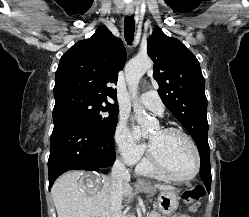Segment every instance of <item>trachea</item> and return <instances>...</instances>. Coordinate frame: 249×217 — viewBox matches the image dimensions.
Masks as SVG:
<instances>
[{"instance_id": "3493384b", "label": "trachea", "mask_w": 249, "mask_h": 217, "mask_svg": "<svg viewBox=\"0 0 249 217\" xmlns=\"http://www.w3.org/2000/svg\"><path fill=\"white\" fill-rule=\"evenodd\" d=\"M135 25L133 16H126L124 20V37L129 45L134 39Z\"/></svg>"}]
</instances>
